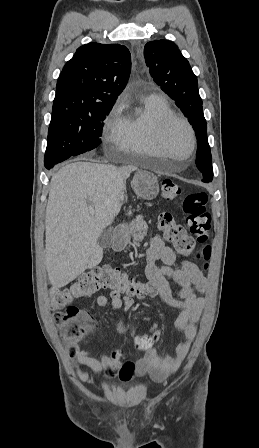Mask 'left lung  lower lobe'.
Wrapping results in <instances>:
<instances>
[{
    "label": "left lung lower lobe",
    "mask_w": 259,
    "mask_h": 448,
    "mask_svg": "<svg viewBox=\"0 0 259 448\" xmlns=\"http://www.w3.org/2000/svg\"><path fill=\"white\" fill-rule=\"evenodd\" d=\"M199 170L203 173L204 182L212 181L213 178V169H212V161H204L198 165Z\"/></svg>",
    "instance_id": "obj_1"
}]
</instances>
